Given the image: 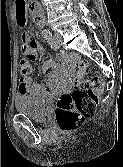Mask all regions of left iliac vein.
Wrapping results in <instances>:
<instances>
[{
	"label": "left iliac vein",
	"instance_id": "4c4485c4",
	"mask_svg": "<svg viewBox=\"0 0 123 167\" xmlns=\"http://www.w3.org/2000/svg\"><path fill=\"white\" fill-rule=\"evenodd\" d=\"M61 41H62L61 35L58 33H55L54 34V43H55L54 48L55 49H58L60 47Z\"/></svg>",
	"mask_w": 123,
	"mask_h": 167
}]
</instances>
